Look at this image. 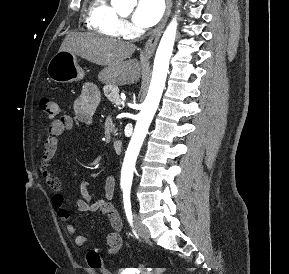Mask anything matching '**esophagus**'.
Here are the masks:
<instances>
[{"label":"esophagus","mask_w":289,"mask_h":274,"mask_svg":"<svg viewBox=\"0 0 289 274\" xmlns=\"http://www.w3.org/2000/svg\"><path fill=\"white\" fill-rule=\"evenodd\" d=\"M171 7H172V0H166V10H165L164 16L161 19L159 25L153 30L152 34L150 35L147 42L145 43V46L142 51L144 55L151 56L154 53L158 40L160 38V35L170 15Z\"/></svg>","instance_id":"34e87169"}]
</instances>
